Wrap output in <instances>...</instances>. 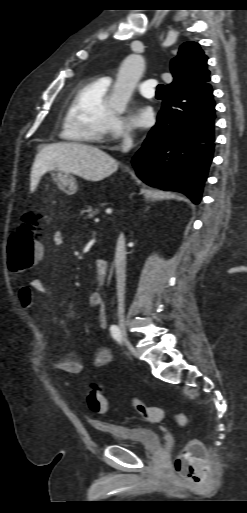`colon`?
Here are the masks:
<instances>
[{
  "label": "colon",
  "mask_w": 247,
  "mask_h": 513,
  "mask_svg": "<svg viewBox=\"0 0 247 513\" xmlns=\"http://www.w3.org/2000/svg\"><path fill=\"white\" fill-rule=\"evenodd\" d=\"M41 234L40 221L36 216L26 214L18 229L12 233L8 244V263L12 274H26L41 256L39 243ZM86 402L95 413L104 414L107 411V402L102 388L95 383L86 394ZM129 403L142 418L149 422H159L165 416L161 407L148 405L136 397H130ZM175 419L180 425H186L189 422V417L184 413L176 414ZM204 454V447L200 441L193 439L187 442L174 461L176 475L192 478L201 471Z\"/></svg>",
  "instance_id": "colon-1"
}]
</instances>
